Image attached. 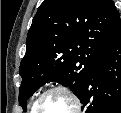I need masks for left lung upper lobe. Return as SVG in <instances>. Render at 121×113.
<instances>
[{
	"label": "left lung upper lobe",
	"mask_w": 121,
	"mask_h": 113,
	"mask_svg": "<svg viewBox=\"0 0 121 113\" xmlns=\"http://www.w3.org/2000/svg\"><path fill=\"white\" fill-rule=\"evenodd\" d=\"M120 24L111 0H44L29 29L19 69L23 109L48 81L59 82L80 97Z\"/></svg>",
	"instance_id": "left-lung-upper-lobe-1"
}]
</instances>
